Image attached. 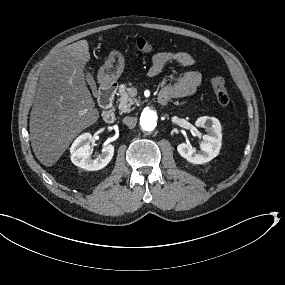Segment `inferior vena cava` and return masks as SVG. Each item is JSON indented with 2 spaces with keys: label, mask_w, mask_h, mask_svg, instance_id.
Wrapping results in <instances>:
<instances>
[{
  "label": "inferior vena cava",
  "mask_w": 285,
  "mask_h": 285,
  "mask_svg": "<svg viewBox=\"0 0 285 285\" xmlns=\"http://www.w3.org/2000/svg\"><path fill=\"white\" fill-rule=\"evenodd\" d=\"M122 122L126 124L130 129H133L136 126L137 118L136 117H125Z\"/></svg>",
  "instance_id": "602c4592"
}]
</instances>
